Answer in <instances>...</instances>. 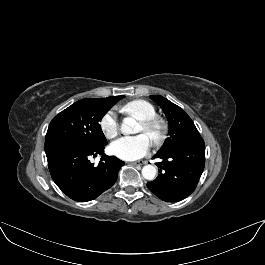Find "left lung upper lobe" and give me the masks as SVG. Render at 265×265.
Wrapping results in <instances>:
<instances>
[{"instance_id":"left-lung-upper-lobe-1","label":"left lung upper lobe","mask_w":265,"mask_h":265,"mask_svg":"<svg viewBox=\"0 0 265 265\" xmlns=\"http://www.w3.org/2000/svg\"><path fill=\"white\" fill-rule=\"evenodd\" d=\"M150 98L162 108L169 123V137L158 152L164 153L178 145L202 138L182 108L160 95H151Z\"/></svg>"}]
</instances>
